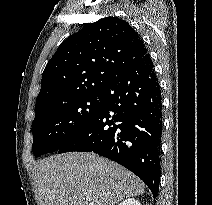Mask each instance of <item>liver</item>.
Listing matches in <instances>:
<instances>
[{
    "instance_id": "6515ba94",
    "label": "liver",
    "mask_w": 212,
    "mask_h": 205,
    "mask_svg": "<svg viewBox=\"0 0 212 205\" xmlns=\"http://www.w3.org/2000/svg\"><path fill=\"white\" fill-rule=\"evenodd\" d=\"M33 175L39 205H116L145 189L130 171L95 153L43 159Z\"/></svg>"
}]
</instances>
